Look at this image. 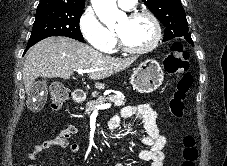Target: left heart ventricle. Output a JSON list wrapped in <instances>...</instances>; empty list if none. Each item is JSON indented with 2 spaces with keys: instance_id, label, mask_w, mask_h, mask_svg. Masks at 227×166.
<instances>
[{
  "instance_id": "1",
  "label": "left heart ventricle",
  "mask_w": 227,
  "mask_h": 166,
  "mask_svg": "<svg viewBox=\"0 0 227 166\" xmlns=\"http://www.w3.org/2000/svg\"><path fill=\"white\" fill-rule=\"evenodd\" d=\"M115 31L127 46L133 48H141L148 45L154 37L153 24L146 17L130 20L123 16L117 23Z\"/></svg>"
}]
</instances>
